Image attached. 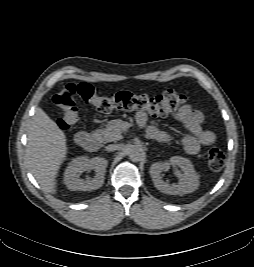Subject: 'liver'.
<instances>
[{
    "label": "liver",
    "mask_w": 254,
    "mask_h": 267,
    "mask_svg": "<svg viewBox=\"0 0 254 267\" xmlns=\"http://www.w3.org/2000/svg\"><path fill=\"white\" fill-rule=\"evenodd\" d=\"M26 160L31 173L48 193H56V177L68 149L66 136L38 107L29 125Z\"/></svg>",
    "instance_id": "obj_1"
}]
</instances>
